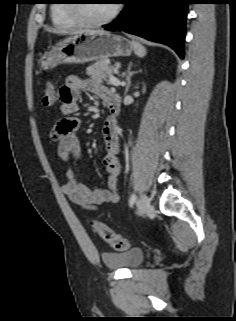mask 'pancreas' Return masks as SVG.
Listing matches in <instances>:
<instances>
[{"instance_id":"obj_1","label":"pancreas","mask_w":236,"mask_h":321,"mask_svg":"<svg viewBox=\"0 0 236 321\" xmlns=\"http://www.w3.org/2000/svg\"><path fill=\"white\" fill-rule=\"evenodd\" d=\"M87 75L92 79L103 82L106 81L108 85L112 83L108 79L109 74H112L113 67L110 65V62L107 60H99L96 63L90 65L86 69Z\"/></svg>"}]
</instances>
